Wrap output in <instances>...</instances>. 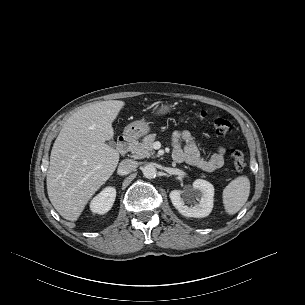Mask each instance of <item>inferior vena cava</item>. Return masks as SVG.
<instances>
[{"instance_id": "obj_1", "label": "inferior vena cava", "mask_w": 305, "mask_h": 305, "mask_svg": "<svg viewBox=\"0 0 305 305\" xmlns=\"http://www.w3.org/2000/svg\"><path fill=\"white\" fill-rule=\"evenodd\" d=\"M138 166V162L133 159H125L121 161L118 171L121 175L129 174L134 171Z\"/></svg>"}]
</instances>
